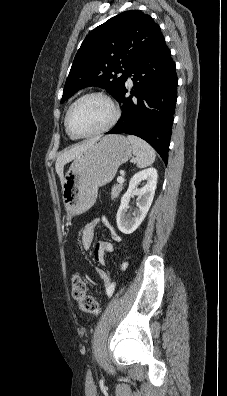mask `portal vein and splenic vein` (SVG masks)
<instances>
[{"label": "portal vein and splenic vein", "instance_id": "obj_1", "mask_svg": "<svg viewBox=\"0 0 227 396\" xmlns=\"http://www.w3.org/2000/svg\"><path fill=\"white\" fill-rule=\"evenodd\" d=\"M123 173H121V176H119L118 178H117V182H119V183H123L124 182V178H123Z\"/></svg>", "mask_w": 227, "mask_h": 396}]
</instances>
